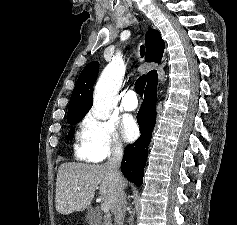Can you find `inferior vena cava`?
Returning a JSON list of instances; mask_svg holds the SVG:
<instances>
[{"instance_id":"inferior-vena-cava-1","label":"inferior vena cava","mask_w":237,"mask_h":225,"mask_svg":"<svg viewBox=\"0 0 237 225\" xmlns=\"http://www.w3.org/2000/svg\"><path fill=\"white\" fill-rule=\"evenodd\" d=\"M123 158L122 145L115 142L111 145L110 155L108 156L107 167L109 168L116 183L117 198L114 208V225H123L126 212V196L124 193V178L120 171V165Z\"/></svg>"}]
</instances>
